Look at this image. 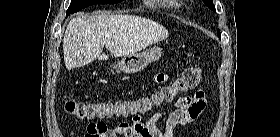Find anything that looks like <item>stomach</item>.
<instances>
[{"instance_id":"obj_1","label":"stomach","mask_w":280,"mask_h":137,"mask_svg":"<svg viewBox=\"0 0 280 137\" xmlns=\"http://www.w3.org/2000/svg\"><path fill=\"white\" fill-rule=\"evenodd\" d=\"M161 55L162 51L159 47L151 48L142 53L126 55L116 68L127 74H134L146 68L150 63L157 61Z\"/></svg>"}]
</instances>
